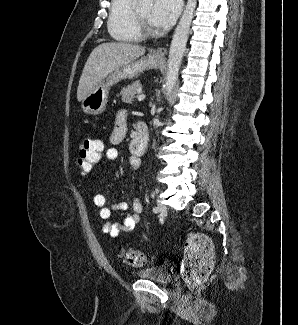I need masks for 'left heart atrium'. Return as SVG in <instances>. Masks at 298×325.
I'll list each match as a JSON object with an SVG mask.
<instances>
[{
  "instance_id": "obj_1",
  "label": "left heart atrium",
  "mask_w": 298,
  "mask_h": 325,
  "mask_svg": "<svg viewBox=\"0 0 298 325\" xmlns=\"http://www.w3.org/2000/svg\"><path fill=\"white\" fill-rule=\"evenodd\" d=\"M180 8V0H154L151 19L159 29H168L176 22Z\"/></svg>"
}]
</instances>
